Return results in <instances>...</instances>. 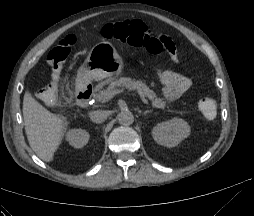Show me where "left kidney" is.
I'll return each mask as SVG.
<instances>
[{
	"instance_id": "1",
	"label": "left kidney",
	"mask_w": 254,
	"mask_h": 216,
	"mask_svg": "<svg viewBox=\"0 0 254 216\" xmlns=\"http://www.w3.org/2000/svg\"><path fill=\"white\" fill-rule=\"evenodd\" d=\"M190 126L180 118L157 124L152 130L154 140L166 147H175L190 135Z\"/></svg>"
}]
</instances>
